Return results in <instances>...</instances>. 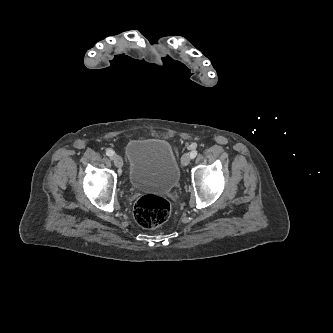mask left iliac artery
I'll list each match as a JSON object with an SVG mask.
<instances>
[{
    "mask_svg": "<svg viewBox=\"0 0 333 333\" xmlns=\"http://www.w3.org/2000/svg\"><path fill=\"white\" fill-rule=\"evenodd\" d=\"M197 155V151L196 150H193L192 152H190V157L193 159L195 158Z\"/></svg>",
    "mask_w": 333,
    "mask_h": 333,
    "instance_id": "1",
    "label": "left iliac artery"
}]
</instances>
